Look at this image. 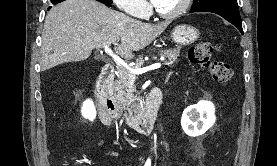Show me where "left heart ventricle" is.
Masks as SVG:
<instances>
[{"mask_svg": "<svg viewBox=\"0 0 277 166\" xmlns=\"http://www.w3.org/2000/svg\"><path fill=\"white\" fill-rule=\"evenodd\" d=\"M182 0H159L156 7L162 12H172L180 7Z\"/></svg>", "mask_w": 277, "mask_h": 166, "instance_id": "b2bd125f", "label": "left heart ventricle"}]
</instances>
